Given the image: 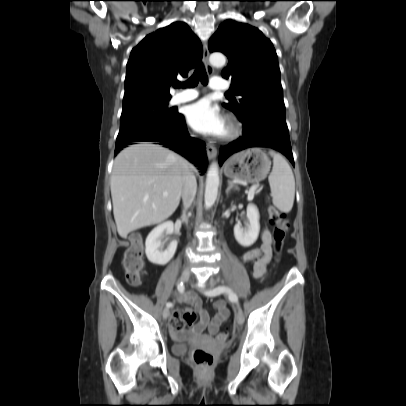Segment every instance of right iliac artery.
Instances as JSON below:
<instances>
[{
  "label": "right iliac artery",
  "mask_w": 406,
  "mask_h": 406,
  "mask_svg": "<svg viewBox=\"0 0 406 406\" xmlns=\"http://www.w3.org/2000/svg\"><path fill=\"white\" fill-rule=\"evenodd\" d=\"M177 289H178V291L180 292V293H183L184 292V285H183V282H180L178 285H177ZM166 306L168 307V308H170V307H172L173 306V304L171 303V302H168L167 304H166Z\"/></svg>",
  "instance_id": "obj_1"
}]
</instances>
